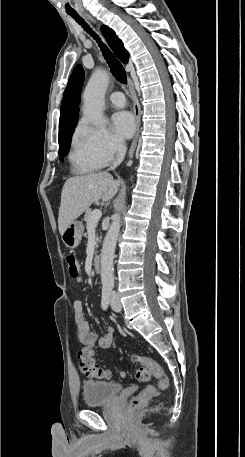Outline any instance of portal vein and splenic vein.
Masks as SVG:
<instances>
[{
	"instance_id": "18ae733b",
	"label": "portal vein and splenic vein",
	"mask_w": 245,
	"mask_h": 457,
	"mask_svg": "<svg viewBox=\"0 0 245 457\" xmlns=\"http://www.w3.org/2000/svg\"><path fill=\"white\" fill-rule=\"evenodd\" d=\"M102 216V210H99V208H95V210H93L89 220L90 222H93V224H96V222H98L99 218H101Z\"/></svg>"
}]
</instances>
